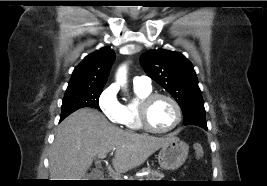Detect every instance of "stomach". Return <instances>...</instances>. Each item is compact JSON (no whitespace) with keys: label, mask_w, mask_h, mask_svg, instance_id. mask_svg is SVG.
I'll return each instance as SVG.
<instances>
[{"label":"stomach","mask_w":267,"mask_h":186,"mask_svg":"<svg viewBox=\"0 0 267 186\" xmlns=\"http://www.w3.org/2000/svg\"><path fill=\"white\" fill-rule=\"evenodd\" d=\"M188 152L189 146L179 138L172 136L171 140L159 151V164L165 170L178 169L187 159Z\"/></svg>","instance_id":"0dacf381"}]
</instances>
